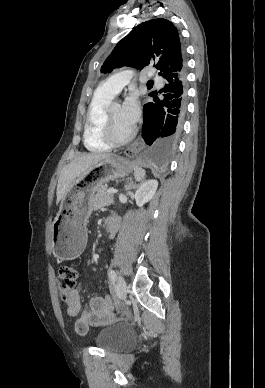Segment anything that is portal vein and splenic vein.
Returning <instances> with one entry per match:
<instances>
[{
    "instance_id": "portal-vein-and-splenic-vein-1",
    "label": "portal vein and splenic vein",
    "mask_w": 265,
    "mask_h": 388,
    "mask_svg": "<svg viewBox=\"0 0 265 388\" xmlns=\"http://www.w3.org/2000/svg\"><path fill=\"white\" fill-rule=\"evenodd\" d=\"M108 194H117L118 190H113V188H109V190H106Z\"/></svg>"
}]
</instances>
